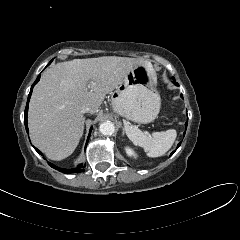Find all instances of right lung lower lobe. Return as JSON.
I'll list each match as a JSON object with an SVG mask.
<instances>
[{"label": "right lung lower lobe", "instance_id": "right-lung-lower-lobe-1", "mask_svg": "<svg viewBox=\"0 0 240 240\" xmlns=\"http://www.w3.org/2000/svg\"><path fill=\"white\" fill-rule=\"evenodd\" d=\"M52 62V61H51ZM50 62V63H51ZM49 63V64H50ZM48 64V65H49ZM47 65V66H48ZM39 79H40V75L37 77V79H36V81L33 83V85H32V87H31V90H30V93H29V96H28V100H27V105H26V108H25V117H24V123H25V127H26V131L28 132V127H27V112H28V104H29V100H30V96H31V93H32V90H33V87H34V85L39 81ZM91 130H92V128L90 129V132H91ZM89 137H90V133H89V136H88V139H87V143H88V140H89ZM87 143H86V145H87ZM35 150L40 154L41 152L37 149V148H35ZM51 167H53V168H55V165H53L52 163H48ZM81 167H85V166H83L82 164H80L77 168H75V169H62V168H59V167H57V169L59 170V171H62V172H64L65 174H67V173H79V172H83L84 170L83 169H81Z\"/></svg>", "mask_w": 240, "mask_h": 240}]
</instances>
